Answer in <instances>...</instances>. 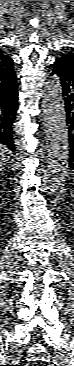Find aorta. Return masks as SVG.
I'll return each instance as SVG.
<instances>
[{
  "instance_id": "762f6f07",
  "label": "aorta",
  "mask_w": 74,
  "mask_h": 366,
  "mask_svg": "<svg viewBox=\"0 0 74 366\" xmlns=\"http://www.w3.org/2000/svg\"><path fill=\"white\" fill-rule=\"evenodd\" d=\"M42 103L47 141L43 190L52 194L61 188L69 161L68 126L59 77L54 76L45 83Z\"/></svg>"
}]
</instances>
